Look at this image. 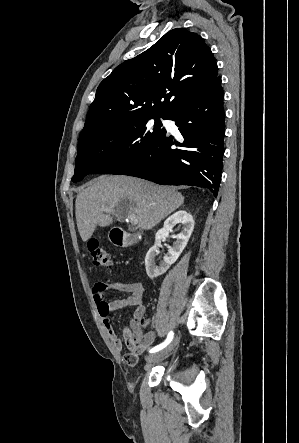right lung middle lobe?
Segmentation results:
<instances>
[{"mask_svg": "<svg viewBox=\"0 0 299 443\" xmlns=\"http://www.w3.org/2000/svg\"><path fill=\"white\" fill-rule=\"evenodd\" d=\"M152 118L153 128L148 125ZM159 118L122 121L81 137L72 181L78 182L88 174H113L141 158L165 133Z\"/></svg>", "mask_w": 299, "mask_h": 443, "instance_id": "right-lung-middle-lobe-1", "label": "right lung middle lobe"}]
</instances>
